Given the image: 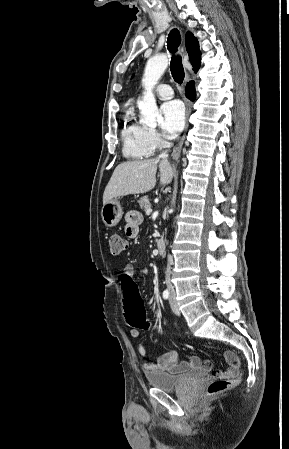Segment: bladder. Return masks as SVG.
<instances>
[{"label": "bladder", "instance_id": "31cf9c89", "mask_svg": "<svg viewBox=\"0 0 289 449\" xmlns=\"http://www.w3.org/2000/svg\"><path fill=\"white\" fill-rule=\"evenodd\" d=\"M205 376L203 369H196L184 374L154 373L147 375L148 383L157 389L171 392L183 388Z\"/></svg>", "mask_w": 289, "mask_h": 449}]
</instances>
